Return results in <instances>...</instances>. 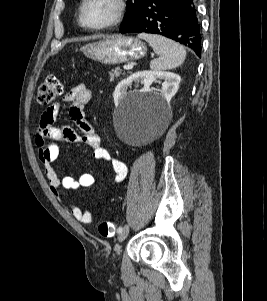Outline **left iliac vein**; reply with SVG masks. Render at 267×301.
<instances>
[{
	"instance_id": "1",
	"label": "left iliac vein",
	"mask_w": 267,
	"mask_h": 301,
	"mask_svg": "<svg viewBox=\"0 0 267 301\" xmlns=\"http://www.w3.org/2000/svg\"><path fill=\"white\" fill-rule=\"evenodd\" d=\"M129 234V226H125L118 235V241L123 242Z\"/></svg>"
}]
</instances>
